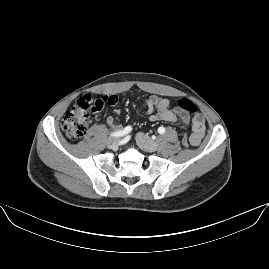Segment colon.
I'll return each mask as SVG.
<instances>
[{
	"label": "colon",
	"mask_w": 269,
	"mask_h": 269,
	"mask_svg": "<svg viewBox=\"0 0 269 269\" xmlns=\"http://www.w3.org/2000/svg\"><path fill=\"white\" fill-rule=\"evenodd\" d=\"M119 99L112 95L108 98H92L90 94H83L77 102L64 113L61 121V127L64 134L73 141L82 139L87 133L90 125V116L98 113L102 109L108 110L111 106L117 105ZM176 107L188 113H195L194 104L186 99L180 98L176 101ZM181 147H188V135L185 132L180 133Z\"/></svg>",
	"instance_id": "5ec220e1"
}]
</instances>
